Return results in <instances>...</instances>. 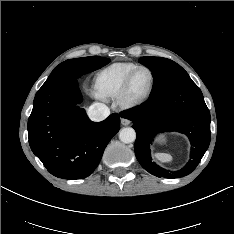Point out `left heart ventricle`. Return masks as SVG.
<instances>
[{"label":"left heart ventricle","mask_w":234,"mask_h":234,"mask_svg":"<svg viewBox=\"0 0 234 234\" xmlns=\"http://www.w3.org/2000/svg\"><path fill=\"white\" fill-rule=\"evenodd\" d=\"M151 83V75L147 70H139L131 83L130 95L139 97L143 95L149 88Z\"/></svg>","instance_id":"1"}]
</instances>
